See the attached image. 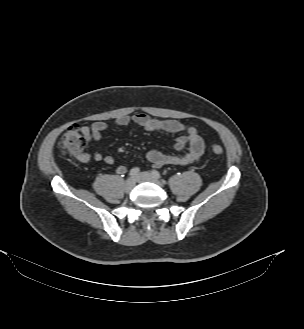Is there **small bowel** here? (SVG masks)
Segmentation results:
<instances>
[{
    "mask_svg": "<svg viewBox=\"0 0 304 329\" xmlns=\"http://www.w3.org/2000/svg\"><path fill=\"white\" fill-rule=\"evenodd\" d=\"M131 122L142 127L146 131L163 132L176 134L183 132L176 138L175 149L178 154H165L157 150H150L146 154V158L155 167L163 165L185 166L197 162L204 153L205 145L198 130L193 126L184 125L176 120L153 118L144 113H138L133 116H120L113 125L116 127H125ZM111 125L107 122L98 121L90 125L82 126L81 130L89 142H98L104 131L110 129ZM80 162L86 163L91 159L95 161L104 162L106 164H113L115 158L111 155H103L101 152L95 151L93 153H82L78 158ZM118 174H124L126 168L118 166L116 169Z\"/></svg>",
    "mask_w": 304,
    "mask_h": 329,
    "instance_id": "c3829d8e",
    "label": "small bowel"
}]
</instances>
